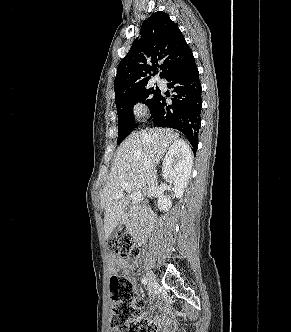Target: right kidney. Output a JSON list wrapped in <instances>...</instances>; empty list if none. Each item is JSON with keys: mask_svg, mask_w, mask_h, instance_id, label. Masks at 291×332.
<instances>
[{"mask_svg": "<svg viewBox=\"0 0 291 332\" xmlns=\"http://www.w3.org/2000/svg\"><path fill=\"white\" fill-rule=\"evenodd\" d=\"M192 155L189 147L183 141L175 142L168 150L163 161V177L166 181L172 182L173 191L177 198H181L187 186L191 174ZM172 202L167 196L161 195L158 198V208L168 211Z\"/></svg>", "mask_w": 291, "mask_h": 332, "instance_id": "obj_1", "label": "right kidney"}]
</instances>
